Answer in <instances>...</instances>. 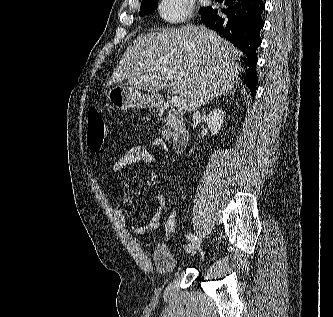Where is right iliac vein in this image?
I'll list each match as a JSON object with an SVG mask.
<instances>
[{"instance_id": "63e3f726", "label": "right iliac vein", "mask_w": 333, "mask_h": 317, "mask_svg": "<svg viewBox=\"0 0 333 317\" xmlns=\"http://www.w3.org/2000/svg\"><path fill=\"white\" fill-rule=\"evenodd\" d=\"M200 244H201V239H195V240H191L188 244H187V246H186V248H185V252L186 253H190V252H192V251H194L196 248H198L199 246H200Z\"/></svg>"}]
</instances>
